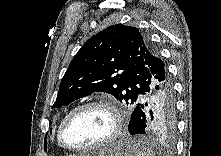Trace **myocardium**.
I'll use <instances>...</instances> for the list:
<instances>
[{
    "label": "myocardium",
    "instance_id": "1",
    "mask_svg": "<svg viewBox=\"0 0 221 156\" xmlns=\"http://www.w3.org/2000/svg\"><path fill=\"white\" fill-rule=\"evenodd\" d=\"M91 107H100L104 108L107 111L110 112L113 118V128L111 133L102 141H100L97 144L91 145V146H85V147H75L70 145L66 140V129L69 125L70 121L81 111L91 108ZM123 128V116L121 114V111L117 107L115 103H113L110 100L107 99H96V100H90L87 101L81 105H78L77 107L73 108L62 120L59 131H58V141L60 145L73 152H82V151H89L98 149L101 147H104L111 142H113L121 133Z\"/></svg>",
    "mask_w": 221,
    "mask_h": 156
}]
</instances>
